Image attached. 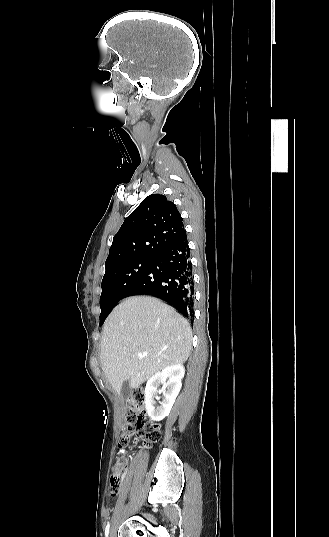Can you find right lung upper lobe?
<instances>
[{
    "label": "right lung upper lobe",
    "instance_id": "obj_1",
    "mask_svg": "<svg viewBox=\"0 0 329 537\" xmlns=\"http://www.w3.org/2000/svg\"><path fill=\"white\" fill-rule=\"evenodd\" d=\"M186 233L175 204L151 194L125 219L113 238L106 270L138 259H153Z\"/></svg>",
    "mask_w": 329,
    "mask_h": 537
}]
</instances>
